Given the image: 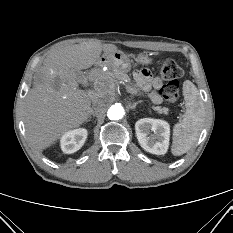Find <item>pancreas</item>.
Segmentation results:
<instances>
[{
  "label": "pancreas",
  "mask_w": 233,
  "mask_h": 233,
  "mask_svg": "<svg viewBox=\"0 0 233 233\" xmlns=\"http://www.w3.org/2000/svg\"><path fill=\"white\" fill-rule=\"evenodd\" d=\"M115 73V77H116V80L118 81H125L127 82L126 86H127V91L133 95H139V89L137 88V86L135 84H133L131 81H130V78L127 74H125L124 72L116 69L114 71ZM105 78H110L109 75H107V73L105 72H101V75L98 76V80H103ZM153 110H155L157 113L159 114H165V115H168V112H169V109L166 108V107H161V106H153L152 107Z\"/></svg>",
  "instance_id": "1"
}]
</instances>
